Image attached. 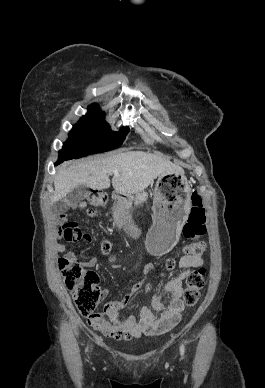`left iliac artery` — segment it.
<instances>
[{
    "label": "left iliac artery",
    "instance_id": "1",
    "mask_svg": "<svg viewBox=\"0 0 265 388\" xmlns=\"http://www.w3.org/2000/svg\"><path fill=\"white\" fill-rule=\"evenodd\" d=\"M180 351H181L182 354L184 353V345H181Z\"/></svg>",
    "mask_w": 265,
    "mask_h": 388
}]
</instances>
